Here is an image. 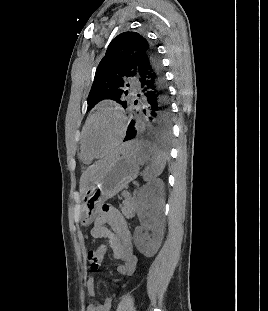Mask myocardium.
Instances as JSON below:
<instances>
[{"instance_id":"obj_1","label":"myocardium","mask_w":268,"mask_h":311,"mask_svg":"<svg viewBox=\"0 0 268 311\" xmlns=\"http://www.w3.org/2000/svg\"><path fill=\"white\" fill-rule=\"evenodd\" d=\"M104 112H110L117 117V119L119 121V134H118L116 140L113 142V144L108 148V150H106L102 154H93L88 150L87 145H86L87 130H88V127H89L90 123L92 122V120ZM125 133H126V118H125L124 114L118 108L113 107V106L100 107L96 111H94L91 115H89V117L87 118V120L83 126L82 138H81L82 148L90 158H102V157L108 155L109 153H111L114 149H116L119 146V144L122 142V140L125 136Z\"/></svg>"}]
</instances>
